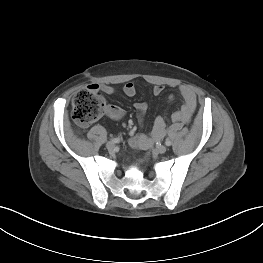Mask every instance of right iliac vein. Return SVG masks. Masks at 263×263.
Masks as SVG:
<instances>
[{"mask_svg": "<svg viewBox=\"0 0 263 263\" xmlns=\"http://www.w3.org/2000/svg\"><path fill=\"white\" fill-rule=\"evenodd\" d=\"M106 148H107L109 151H112V150L115 148V143L112 142V141L107 142Z\"/></svg>", "mask_w": 263, "mask_h": 263, "instance_id": "obj_1", "label": "right iliac vein"}]
</instances>
